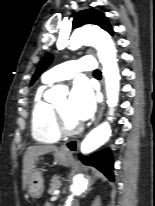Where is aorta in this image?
<instances>
[{
    "mask_svg": "<svg viewBox=\"0 0 155 206\" xmlns=\"http://www.w3.org/2000/svg\"><path fill=\"white\" fill-rule=\"evenodd\" d=\"M69 45L70 49H78L83 45H91L97 49L99 60L103 65L107 104L110 108L109 113L112 115L118 103L120 74L117 65L116 49L111 37L108 33L96 27H80L71 35ZM59 89L60 86H55L49 90V98L53 99ZM110 135L111 126L108 121H105L94 128L82 141L81 152L88 154L96 150L108 141ZM87 186L88 182L84 177L76 176L70 186V193L65 199L64 206H71L75 197L83 193Z\"/></svg>",
    "mask_w": 155,
    "mask_h": 206,
    "instance_id": "762f6f07",
    "label": "aorta"
}]
</instances>
